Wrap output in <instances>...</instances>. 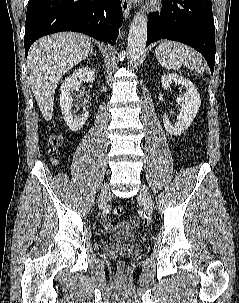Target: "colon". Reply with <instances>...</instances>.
I'll list each match as a JSON object with an SVG mask.
<instances>
[{
    "label": "colon",
    "instance_id": "1",
    "mask_svg": "<svg viewBox=\"0 0 239 303\" xmlns=\"http://www.w3.org/2000/svg\"><path fill=\"white\" fill-rule=\"evenodd\" d=\"M61 137L59 135H54L51 139V143H52V148H51V152L52 154H55L57 152V148L60 146L61 144ZM124 207L121 205L115 206L113 209V213L116 216H121L124 214ZM136 222H138V220H136ZM119 264H121V261L119 262Z\"/></svg>",
    "mask_w": 239,
    "mask_h": 303
}]
</instances>
